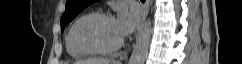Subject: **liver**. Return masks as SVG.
Here are the masks:
<instances>
[{"label":"liver","instance_id":"6515ba94","mask_svg":"<svg viewBox=\"0 0 242 64\" xmlns=\"http://www.w3.org/2000/svg\"><path fill=\"white\" fill-rule=\"evenodd\" d=\"M76 64H116V62H112L110 59H88L84 61H77Z\"/></svg>","mask_w":242,"mask_h":64}]
</instances>
